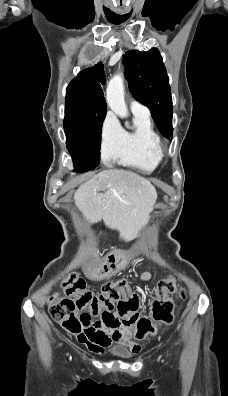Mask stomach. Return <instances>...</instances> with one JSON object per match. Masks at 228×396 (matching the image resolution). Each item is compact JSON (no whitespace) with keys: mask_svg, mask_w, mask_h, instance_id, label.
Listing matches in <instances>:
<instances>
[{"mask_svg":"<svg viewBox=\"0 0 228 396\" xmlns=\"http://www.w3.org/2000/svg\"><path fill=\"white\" fill-rule=\"evenodd\" d=\"M139 248H140V243L138 242L136 245L132 247L131 254L137 255L139 253Z\"/></svg>","mask_w":228,"mask_h":396,"instance_id":"stomach-1","label":"stomach"}]
</instances>
